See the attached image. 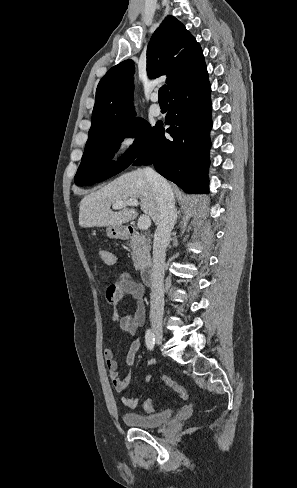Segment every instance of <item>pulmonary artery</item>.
<instances>
[{
    "label": "pulmonary artery",
    "instance_id": "1",
    "mask_svg": "<svg viewBox=\"0 0 297 488\" xmlns=\"http://www.w3.org/2000/svg\"><path fill=\"white\" fill-rule=\"evenodd\" d=\"M151 99H152L153 102H156L158 100V95L157 94H153L151 96ZM150 113L153 116H160L161 115V109H160V107L157 104H153L150 107Z\"/></svg>",
    "mask_w": 297,
    "mask_h": 488
}]
</instances>
